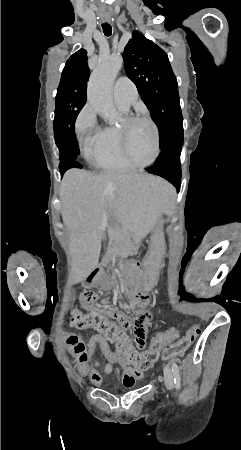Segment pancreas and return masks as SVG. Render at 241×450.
<instances>
[{
    "label": "pancreas",
    "instance_id": "cf45deb5",
    "mask_svg": "<svg viewBox=\"0 0 241 450\" xmlns=\"http://www.w3.org/2000/svg\"><path fill=\"white\" fill-rule=\"evenodd\" d=\"M111 234H114L113 240H127L128 242L132 241V238L128 237L129 234H128L127 230H110L109 236H111ZM130 235H133V234H130ZM103 264H105V262H103Z\"/></svg>",
    "mask_w": 241,
    "mask_h": 450
}]
</instances>
